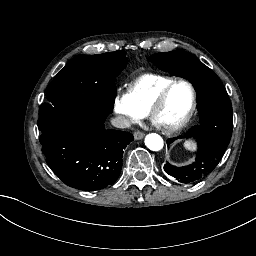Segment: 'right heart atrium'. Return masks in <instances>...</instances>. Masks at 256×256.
I'll list each match as a JSON object with an SVG mask.
<instances>
[{"label":"right heart atrium","instance_id":"1","mask_svg":"<svg viewBox=\"0 0 256 256\" xmlns=\"http://www.w3.org/2000/svg\"><path fill=\"white\" fill-rule=\"evenodd\" d=\"M131 93L117 95L114 102V113L124 116L127 122H137L139 115L131 108Z\"/></svg>","mask_w":256,"mask_h":256}]
</instances>
